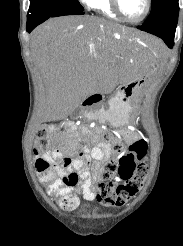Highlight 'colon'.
<instances>
[{
	"label": "colon",
	"mask_w": 183,
	"mask_h": 246,
	"mask_svg": "<svg viewBox=\"0 0 183 246\" xmlns=\"http://www.w3.org/2000/svg\"><path fill=\"white\" fill-rule=\"evenodd\" d=\"M99 117L105 116L98 113ZM54 143L51 132L43 127L37 131L34 146L35 167L42 175L50 174V163L44 155L50 153ZM61 163L70 164L79 159V151L72 143L60 145ZM73 155H78L73 159ZM148 175L147 143L139 139L129 146L128 152L119 140H115L112 149V158L108 160L96 181L97 199L109 207H121L134 198L143 188ZM64 183H73L76 178H63Z\"/></svg>",
	"instance_id": "1"
}]
</instances>
